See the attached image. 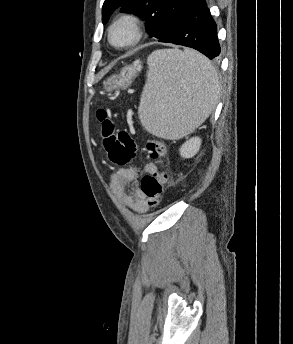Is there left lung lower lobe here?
Instances as JSON below:
<instances>
[{"instance_id": "1", "label": "left lung lower lobe", "mask_w": 293, "mask_h": 344, "mask_svg": "<svg viewBox=\"0 0 293 344\" xmlns=\"http://www.w3.org/2000/svg\"><path fill=\"white\" fill-rule=\"evenodd\" d=\"M160 42L191 47L209 59L218 57L217 27L205 0H191L177 24Z\"/></svg>"}]
</instances>
